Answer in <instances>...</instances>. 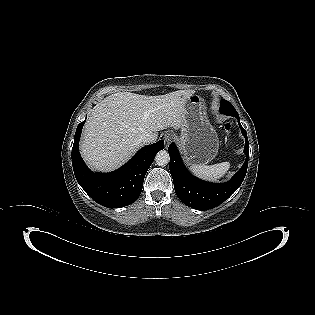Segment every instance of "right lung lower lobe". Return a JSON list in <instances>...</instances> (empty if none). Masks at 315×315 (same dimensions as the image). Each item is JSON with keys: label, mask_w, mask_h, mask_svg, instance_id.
<instances>
[{"label": "right lung lower lobe", "mask_w": 315, "mask_h": 315, "mask_svg": "<svg viewBox=\"0 0 315 315\" xmlns=\"http://www.w3.org/2000/svg\"><path fill=\"white\" fill-rule=\"evenodd\" d=\"M81 122L76 130L72 148V165L77 182L98 204L108 208H120L136 201L143 187L146 172L156 153L164 148V141L140 149L124 166L111 173H93L79 153Z\"/></svg>", "instance_id": "obj_1"}]
</instances>
